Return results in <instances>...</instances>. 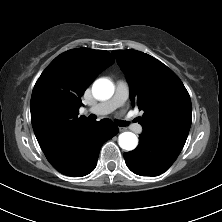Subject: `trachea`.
<instances>
[{
  "label": "trachea",
  "instance_id": "3493384b",
  "mask_svg": "<svg viewBox=\"0 0 222 222\" xmlns=\"http://www.w3.org/2000/svg\"><path fill=\"white\" fill-rule=\"evenodd\" d=\"M115 123H116L118 126H121V127H124V126H127V125H128V122L122 121V120H116Z\"/></svg>",
  "mask_w": 222,
  "mask_h": 222
}]
</instances>
